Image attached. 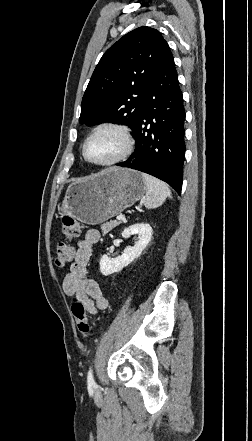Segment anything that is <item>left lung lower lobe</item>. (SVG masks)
<instances>
[{
	"label": "left lung lower lobe",
	"mask_w": 252,
	"mask_h": 441,
	"mask_svg": "<svg viewBox=\"0 0 252 441\" xmlns=\"http://www.w3.org/2000/svg\"><path fill=\"white\" fill-rule=\"evenodd\" d=\"M184 120L178 75L172 53L165 42L134 134L135 151L128 160L117 165L153 175L180 194L185 153Z\"/></svg>",
	"instance_id": "1"
}]
</instances>
